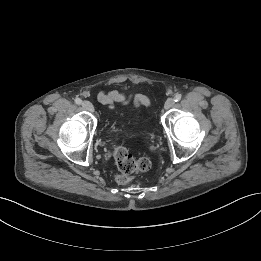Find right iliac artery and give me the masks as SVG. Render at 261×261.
I'll list each match as a JSON object with an SVG mask.
<instances>
[{
  "label": "right iliac artery",
  "instance_id": "1",
  "mask_svg": "<svg viewBox=\"0 0 261 261\" xmlns=\"http://www.w3.org/2000/svg\"><path fill=\"white\" fill-rule=\"evenodd\" d=\"M75 103L78 104V105H80V104L82 103V100H81L80 98H76V99H75Z\"/></svg>",
  "mask_w": 261,
  "mask_h": 261
}]
</instances>
